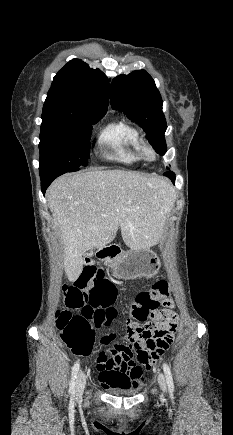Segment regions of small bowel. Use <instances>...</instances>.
Masks as SVG:
<instances>
[{"label":"small bowel","instance_id":"obj_1","mask_svg":"<svg viewBox=\"0 0 233 435\" xmlns=\"http://www.w3.org/2000/svg\"><path fill=\"white\" fill-rule=\"evenodd\" d=\"M118 292V285L113 281L109 280L107 283L93 282L91 285L83 292L85 298L94 296L95 294H105L109 296H116ZM163 310L160 311L151 321L152 327L160 329L164 325L176 326L177 316L172 312L166 310L167 308L173 307V302L170 298L165 297L162 300ZM139 320V319H138ZM116 338L115 333H110L105 336L104 340H110L113 343ZM144 346V345H143ZM96 368L98 371V379L104 388H121L123 385L130 386L133 383H137L142 379L143 369L140 366H127L124 363V359L120 354L114 353L106 357L105 360L101 362H96ZM118 376L124 377V382L117 379Z\"/></svg>","mask_w":233,"mask_h":435}]
</instances>
